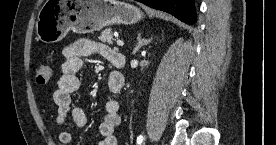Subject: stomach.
I'll return each mask as SVG.
<instances>
[{
  "label": "stomach",
  "instance_id": "obj_1",
  "mask_svg": "<svg viewBox=\"0 0 276 145\" xmlns=\"http://www.w3.org/2000/svg\"><path fill=\"white\" fill-rule=\"evenodd\" d=\"M144 17L137 7L118 0H47L38 14L36 34L46 44L72 30L84 34L113 24H134Z\"/></svg>",
  "mask_w": 276,
  "mask_h": 145
}]
</instances>
